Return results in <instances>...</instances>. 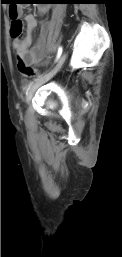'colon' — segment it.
Returning <instances> with one entry per match:
<instances>
[{
  "label": "colon",
  "instance_id": "1",
  "mask_svg": "<svg viewBox=\"0 0 122 257\" xmlns=\"http://www.w3.org/2000/svg\"><path fill=\"white\" fill-rule=\"evenodd\" d=\"M7 10H9V16L11 18V28L10 33L14 38H20L23 33V22L19 18L18 10H25V5H7ZM18 70L22 76L26 78H31L37 74V70L23 62L19 59Z\"/></svg>",
  "mask_w": 122,
  "mask_h": 257
}]
</instances>
